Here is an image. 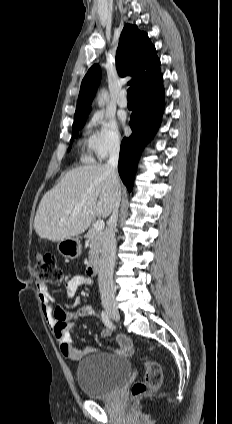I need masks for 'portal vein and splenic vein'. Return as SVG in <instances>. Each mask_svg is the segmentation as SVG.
Listing matches in <instances>:
<instances>
[{"label": "portal vein and splenic vein", "mask_w": 232, "mask_h": 424, "mask_svg": "<svg viewBox=\"0 0 232 424\" xmlns=\"http://www.w3.org/2000/svg\"><path fill=\"white\" fill-rule=\"evenodd\" d=\"M104 226H105V223H104V221H103V220H98V221H96V222H95V224L93 225V227H94L96 230H103Z\"/></svg>", "instance_id": "18ae733b"}]
</instances>
